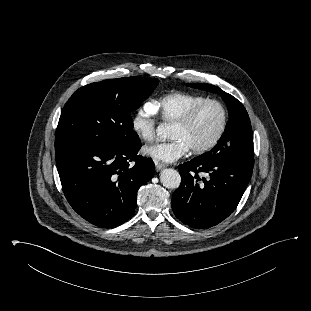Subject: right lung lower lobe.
Segmentation results:
<instances>
[{
  "instance_id": "right-lung-lower-lobe-1",
  "label": "right lung lower lobe",
  "mask_w": 311,
  "mask_h": 311,
  "mask_svg": "<svg viewBox=\"0 0 311 311\" xmlns=\"http://www.w3.org/2000/svg\"><path fill=\"white\" fill-rule=\"evenodd\" d=\"M133 147L107 150L89 146L55 149L64 195L88 222L101 227L119 226L132 217L137 191L154 175L151 158L137 155ZM134 162V166L129 165Z\"/></svg>"
}]
</instances>
